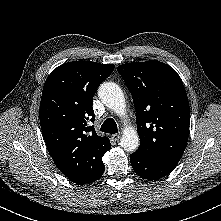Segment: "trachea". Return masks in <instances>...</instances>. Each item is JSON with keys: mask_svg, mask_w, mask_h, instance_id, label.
I'll return each mask as SVG.
<instances>
[{"mask_svg": "<svg viewBox=\"0 0 221 221\" xmlns=\"http://www.w3.org/2000/svg\"><path fill=\"white\" fill-rule=\"evenodd\" d=\"M101 131L105 133L115 134L118 132L117 124L112 118H108L101 126Z\"/></svg>", "mask_w": 221, "mask_h": 221, "instance_id": "trachea-1", "label": "trachea"}]
</instances>
